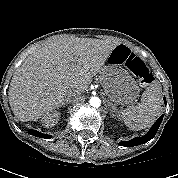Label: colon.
I'll list each match as a JSON object with an SVG mask.
<instances>
[{"instance_id":"5ec220e1","label":"colon","mask_w":178,"mask_h":178,"mask_svg":"<svg viewBox=\"0 0 178 178\" xmlns=\"http://www.w3.org/2000/svg\"><path fill=\"white\" fill-rule=\"evenodd\" d=\"M130 70L139 78L144 85L152 83L153 77L146 65L138 58H134L129 66Z\"/></svg>"}]
</instances>
